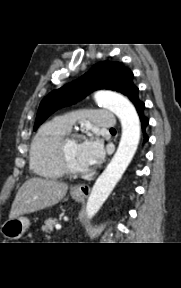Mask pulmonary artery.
<instances>
[{"label": "pulmonary artery", "instance_id": "e3ab8cb5", "mask_svg": "<svg viewBox=\"0 0 181 288\" xmlns=\"http://www.w3.org/2000/svg\"><path fill=\"white\" fill-rule=\"evenodd\" d=\"M78 119H88L94 125L102 128H114L115 116L112 112L100 109H91L84 112H71L60 116L57 121L66 129L70 130Z\"/></svg>", "mask_w": 181, "mask_h": 288}]
</instances>
